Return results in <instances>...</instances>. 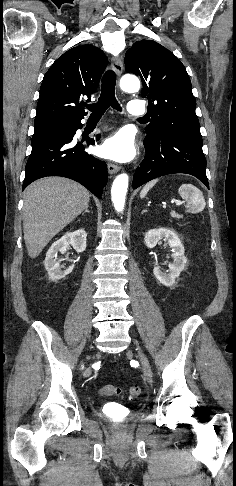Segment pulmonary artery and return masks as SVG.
Returning a JSON list of instances; mask_svg holds the SVG:
<instances>
[{
  "label": "pulmonary artery",
  "mask_w": 236,
  "mask_h": 486,
  "mask_svg": "<svg viewBox=\"0 0 236 486\" xmlns=\"http://www.w3.org/2000/svg\"><path fill=\"white\" fill-rule=\"evenodd\" d=\"M128 112L132 116H142L145 114L146 110L144 105L138 100H132L128 104Z\"/></svg>",
  "instance_id": "e3ab8cb5"
}]
</instances>
